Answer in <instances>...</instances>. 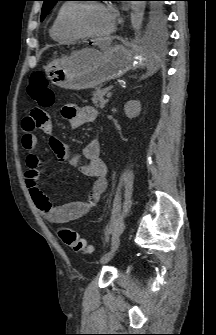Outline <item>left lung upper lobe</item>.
<instances>
[{
    "label": "left lung upper lobe",
    "mask_w": 216,
    "mask_h": 335,
    "mask_svg": "<svg viewBox=\"0 0 216 335\" xmlns=\"http://www.w3.org/2000/svg\"><path fill=\"white\" fill-rule=\"evenodd\" d=\"M44 2L41 11V21L44 20L48 12L60 0H42ZM148 1L145 8V19L148 30L158 36L165 34L166 15L163 10L161 1L163 0H146Z\"/></svg>",
    "instance_id": "left-lung-upper-lobe-1"
}]
</instances>
